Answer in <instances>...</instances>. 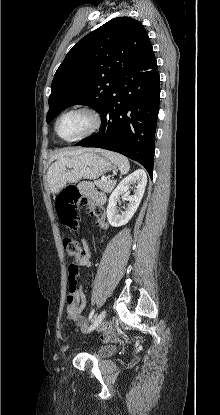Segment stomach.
I'll list each match as a JSON object with an SVG mask.
<instances>
[{
    "label": "stomach",
    "instance_id": "1",
    "mask_svg": "<svg viewBox=\"0 0 220 415\" xmlns=\"http://www.w3.org/2000/svg\"><path fill=\"white\" fill-rule=\"evenodd\" d=\"M113 168V164L108 159L93 151L66 156L58 159L49 168L48 187L52 193H58L67 183H76L82 179H96Z\"/></svg>",
    "mask_w": 220,
    "mask_h": 415
}]
</instances>
